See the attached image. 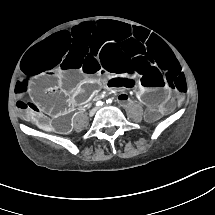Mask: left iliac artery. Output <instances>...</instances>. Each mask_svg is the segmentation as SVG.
<instances>
[{"label":"left iliac artery","instance_id":"44dca946","mask_svg":"<svg viewBox=\"0 0 215 215\" xmlns=\"http://www.w3.org/2000/svg\"><path fill=\"white\" fill-rule=\"evenodd\" d=\"M106 103H107V104H111V103H112V100H111V99H108V100L106 101Z\"/></svg>","mask_w":215,"mask_h":215}]
</instances>
